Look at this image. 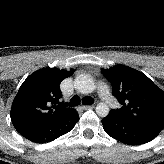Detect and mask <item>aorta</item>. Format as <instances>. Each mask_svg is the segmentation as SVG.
<instances>
[{
	"label": "aorta",
	"instance_id": "aorta-1",
	"mask_svg": "<svg viewBox=\"0 0 164 164\" xmlns=\"http://www.w3.org/2000/svg\"><path fill=\"white\" fill-rule=\"evenodd\" d=\"M75 88L83 94H88L93 92L96 89V83L88 75H80L75 80ZM96 113L99 116H107L109 113V106L106 103H99L96 106Z\"/></svg>",
	"mask_w": 164,
	"mask_h": 164
}]
</instances>
